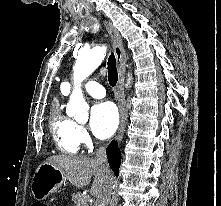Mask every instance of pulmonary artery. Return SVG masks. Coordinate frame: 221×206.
<instances>
[{"mask_svg": "<svg viewBox=\"0 0 221 206\" xmlns=\"http://www.w3.org/2000/svg\"><path fill=\"white\" fill-rule=\"evenodd\" d=\"M63 88L67 93H69L71 90V85L66 82L64 83ZM84 89L90 96L98 99L103 98L106 94L104 87L94 81L87 82L84 85Z\"/></svg>", "mask_w": 221, "mask_h": 206, "instance_id": "pulmonary-artery-1", "label": "pulmonary artery"}]
</instances>
